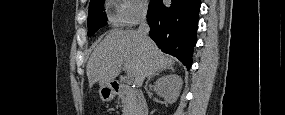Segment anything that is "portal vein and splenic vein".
I'll use <instances>...</instances> for the list:
<instances>
[{"mask_svg": "<svg viewBox=\"0 0 285 115\" xmlns=\"http://www.w3.org/2000/svg\"><path fill=\"white\" fill-rule=\"evenodd\" d=\"M123 70L126 72V77L128 80H131L133 78V74L128 70L127 66H123Z\"/></svg>", "mask_w": 285, "mask_h": 115, "instance_id": "1", "label": "portal vein and splenic vein"}]
</instances>
